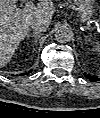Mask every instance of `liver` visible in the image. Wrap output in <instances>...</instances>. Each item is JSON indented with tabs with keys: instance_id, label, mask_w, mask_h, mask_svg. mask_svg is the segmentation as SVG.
Listing matches in <instances>:
<instances>
[{
	"instance_id": "liver-1",
	"label": "liver",
	"mask_w": 100,
	"mask_h": 118,
	"mask_svg": "<svg viewBox=\"0 0 100 118\" xmlns=\"http://www.w3.org/2000/svg\"><path fill=\"white\" fill-rule=\"evenodd\" d=\"M16 1L0 0V65L2 67L10 62L15 50L27 35L32 21L43 19L50 24L55 11L52 0H39L36 9L17 15Z\"/></svg>"
}]
</instances>
